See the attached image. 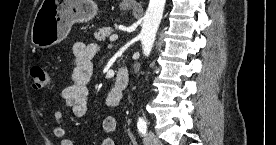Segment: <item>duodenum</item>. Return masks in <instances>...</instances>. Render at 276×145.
<instances>
[{
	"label": "duodenum",
	"instance_id": "410a0bca",
	"mask_svg": "<svg viewBox=\"0 0 276 145\" xmlns=\"http://www.w3.org/2000/svg\"><path fill=\"white\" fill-rule=\"evenodd\" d=\"M129 83V71L125 67H120L116 74V79L114 82V89L122 94Z\"/></svg>",
	"mask_w": 276,
	"mask_h": 145
}]
</instances>
